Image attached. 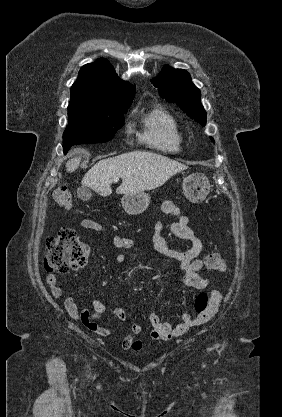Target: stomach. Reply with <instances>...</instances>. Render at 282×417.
Returning <instances> with one entry per match:
<instances>
[{
	"label": "stomach",
	"mask_w": 282,
	"mask_h": 417,
	"mask_svg": "<svg viewBox=\"0 0 282 417\" xmlns=\"http://www.w3.org/2000/svg\"><path fill=\"white\" fill-rule=\"evenodd\" d=\"M210 182L202 172H194V174H188L185 176L182 182V190L189 200L192 202H201L206 198L207 194L210 192ZM122 206L124 211L128 215H140L148 209L150 196L148 192H129V194H124L121 198Z\"/></svg>",
	"instance_id": "obj_1"
}]
</instances>
